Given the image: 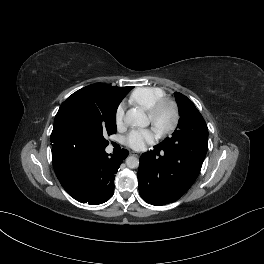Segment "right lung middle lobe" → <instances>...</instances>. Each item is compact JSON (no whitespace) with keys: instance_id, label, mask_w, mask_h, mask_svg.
Instances as JSON below:
<instances>
[{"instance_id":"dd1d6c3e","label":"right lung middle lobe","mask_w":264,"mask_h":264,"mask_svg":"<svg viewBox=\"0 0 264 264\" xmlns=\"http://www.w3.org/2000/svg\"><path fill=\"white\" fill-rule=\"evenodd\" d=\"M126 94L103 84L73 93L60 106L51 134L53 147L65 153L105 149L116 133V110Z\"/></svg>"}]
</instances>
